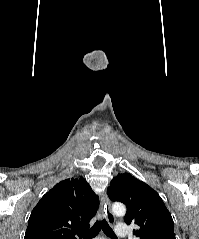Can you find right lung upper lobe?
Here are the masks:
<instances>
[{
	"label": "right lung upper lobe",
	"instance_id": "obj_1",
	"mask_svg": "<svg viewBox=\"0 0 199 239\" xmlns=\"http://www.w3.org/2000/svg\"><path fill=\"white\" fill-rule=\"evenodd\" d=\"M99 198L83 177L56 184L33 209L24 239H76L90 227Z\"/></svg>",
	"mask_w": 199,
	"mask_h": 239
}]
</instances>
